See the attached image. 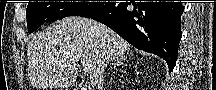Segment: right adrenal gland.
<instances>
[{"label":"right adrenal gland","instance_id":"obj_1","mask_svg":"<svg viewBox=\"0 0 216 90\" xmlns=\"http://www.w3.org/2000/svg\"><path fill=\"white\" fill-rule=\"evenodd\" d=\"M123 60L124 62H127V58L126 56H121V58H118V60H115L113 66H114V72L112 74V78H110V82H112L113 78H114V74L117 70V66H121V64H123Z\"/></svg>","mask_w":216,"mask_h":90}]
</instances>
